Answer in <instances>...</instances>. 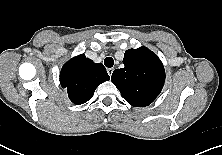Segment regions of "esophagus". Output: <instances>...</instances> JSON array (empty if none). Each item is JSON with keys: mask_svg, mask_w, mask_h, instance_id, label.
I'll use <instances>...</instances> for the list:
<instances>
[{"mask_svg": "<svg viewBox=\"0 0 222 155\" xmlns=\"http://www.w3.org/2000/svg\"><path fill=\"white\" fill-rule=\"evenodd\" d=\"M113 71H114L113 68H107V73H108L109 76L112 75Z\"/></svg>", "mask_w": 222, "mask_h": 155, "instance_id": "obj_1", "label": "esophagus"}]
</instances>
